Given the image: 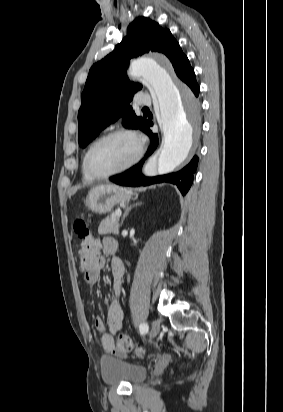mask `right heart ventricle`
<instances>
[{
    "label": "right heart ventricle",
    "mask_w": 283,
    "mask_h": 412,
    "mask_svg": "<svg viewBox=\"0 0 283 412\" xmlns=\"http://www.w3.org/2000/svg\"><path fill=\"white\" fill-rule=\"evenodd\" d=\"M82 174H83V179L85 181H92L93 180V178L87 173V171L85 169L84 158H83V161H82Z\"/></svg>",
    "instance_id": "obj_1"
}]
</instances>
